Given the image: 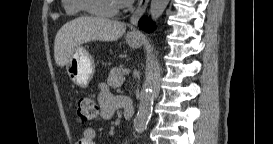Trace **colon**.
<instances>
[{"mask_svg":"<svg viewBox=\"0 0 273 144\" xmlns=\"http://www.w3.org/2000/svg\"><path fill=\"white\" fill-rule=\"evenodd\" d=\"M98 105L89 96H81L77 104V118L81 124H87L98 115Z\"/></svg>","mask_w":273,"mask_h":144,"instance_id":"5ec220e1","label":"colon"}]
</instances>
